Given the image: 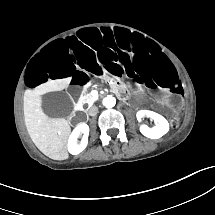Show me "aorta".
<instances>
[{"instance_id": "762f6f07", "label": "aorta", "mask_w": 215, "mask_h": 215, "mask_svg": "<svg viewBox=\"0 0 215 215\" xmlns=\"http://www.w3.org/2000/svg\"><path fill=\"white\" fill-rule=\"evenodd\" d=\"M116 104V99L112 96H107L106 98L103 99V105L106 108H112Z\"/></svg>"}]
</instances>
